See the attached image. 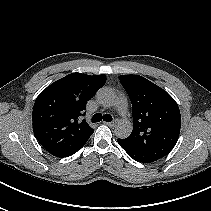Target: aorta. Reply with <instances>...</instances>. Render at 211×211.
Segmentation results:
<instances>
[{
  "mask_svg": "<svg viewBox=\"0 0 211 211\" xmlns=\"http://www.w3.org/2000/svg\"><path fill=\"white\" fill-rule=\"evenodd\" d=\"M98 102L105 106L111 107L116 102V96L111 89L102 88L97 92ZM132 132V124L129 121L121 120L115 127V134L118 138L125 139Z\"/></svg>",
  "mask_w": 211,
  "mask_h": 211,
  "instance_id": "762f6f07",
  "label": "aorta"
}]
</instances>
